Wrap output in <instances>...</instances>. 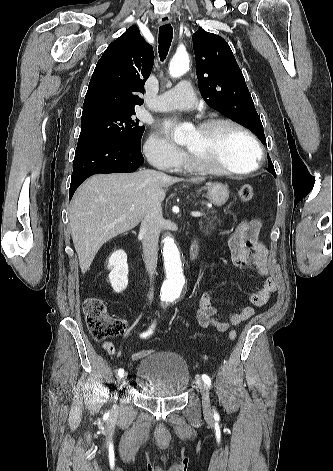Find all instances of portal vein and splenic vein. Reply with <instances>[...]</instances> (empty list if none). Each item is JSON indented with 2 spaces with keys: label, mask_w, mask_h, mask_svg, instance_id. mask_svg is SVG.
Returning <instances> with one entry per match:
<instances>
[{
  "label": "portal vein and splenic vein",
  "mask_w": 333,
  "mask_h": 471,
  "mask_svg": "<svg viewBox=\"0 0 333 471\" xmlns=\"http://www.w3.org/2000/svg\"><path fill=\"white\" fill-rule=\"evenodd\" d=\"M132 210H133V209H132ZM191 216H192V217H195V218H198V217H202V216H203V213L198 212V211H193V212H191Z\"/></svg>",
  "instance_id": "obj_1"
}]
</instances>
